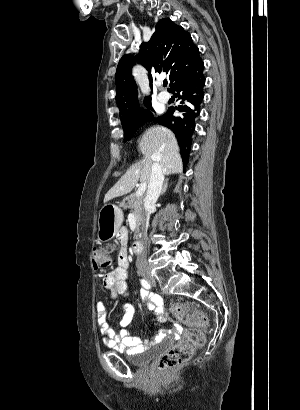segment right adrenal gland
<instances>
[{
  "instance_id": "right-adrenal-gland-1",
  "label": "right adrenal gland",
  "mask_w": 300,
  "mask_h": 410,
  "mask_svg": "<svg viewBox=\"0 0 300 410\" xmlns=\"http://www.w3.org/2000/svg\"><path fill=\"white\" fill-rule=\"evenodd\" d=\"M167 188H168V178L165 179V181H164L161 194H164L166 192Z\"/></svg>"
}]
</instances>
